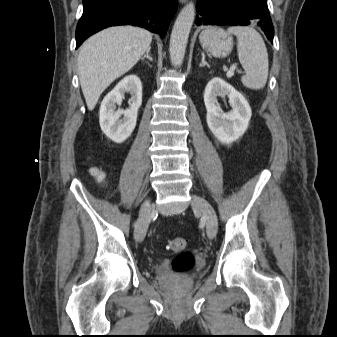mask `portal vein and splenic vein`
Here are the masks:
<instances>
[{"instance_id":"portal-vein-and-splenic-vein-1","label":"portal vein and splenic vein","mask_w":337,"mask_h":337,"mask_svg":"<svg viewBox=\"0 0 337 337\" xmlns=\"http://www.w3.org/2000/svg\"><path fill=\"white\" fill-rule=\"evenodd\" d=\"M236 70V66L232 65L227 72V77H232L234 75V71ZM238 73H242L241 70H237Z\"/></svg>"}]
</instances>
